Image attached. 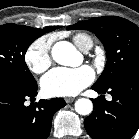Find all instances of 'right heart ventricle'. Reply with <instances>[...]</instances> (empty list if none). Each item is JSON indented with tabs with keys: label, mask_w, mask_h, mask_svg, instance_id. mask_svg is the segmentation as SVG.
<instances>
[{
	"label": "right heart ventricle",
	"mask_w": 139,
	"mask_h": 139,
	"mask_svg": "<svg viewBox=\"0 0 139 139\" xmlns=\"http://www.w3.org/2000/svg\"><path fill=\"white\" fill-rule=\"evenodd\" d=\"M73 41L76 44V46L81 50H86L88 47L93 46V40L92 38L85 33H77L73 37Z\"/></svg>",
	"instance_id": "right-heart-ventricle-1"
}]
</instances>
